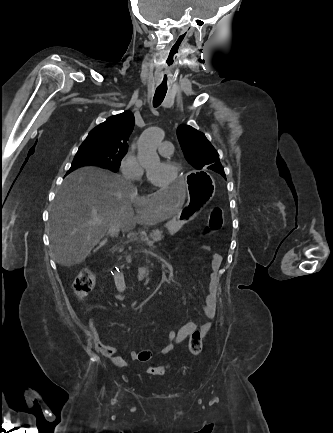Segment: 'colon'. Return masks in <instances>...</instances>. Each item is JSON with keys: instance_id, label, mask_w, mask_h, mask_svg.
<instances>
[{"instance_id": "5ec220e1", "label": "colon", "mask_w": 333, "mask_h": 433, "mask_svg": "<svg viewBox=\"0 0 333 433\" xmlns=\"http://www.w3.org/2000/svg\"><path fill=\"white\" fill-rule=\"evenodd\" d=\"M223 225V211L219 207L211 209L208 216V224L205 228V233H213L221 229ZM96 284V276L94 272L85 268L80 271L73 283V291L78 297L88 295ZM203 336L199 331H194L189 337V351L191 355L197 356L202 350ZM168 365L150 366L146 372L151 375H163L168 369Z\"/></svg>"}]
</instances>
